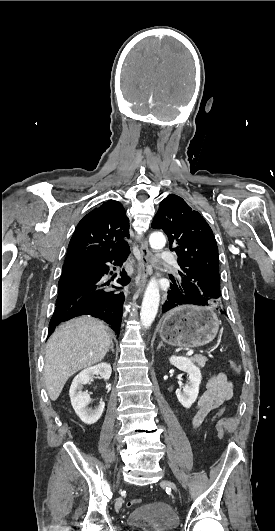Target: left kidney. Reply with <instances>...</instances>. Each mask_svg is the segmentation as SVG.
<instances>
[{
    "label": "left kidney",
    "mask_w": 275,
    "mask_h": 531,
    "mask_svg": "<svg viewBox=\"0 0 275 531\" xmlns=\"http://www.w3.org/2000/svg\"><path fill=\"white\" fill-rule=\"evenodd\" d=\"M169 361L179 371H184V373H188L189 375L185 387H182V391L181 389H177L176 397L183 407L190 409L198 397L199 387L202 381L201 371L199 367H195L191 359H186V357H170Z\"/></svg>",
    "instance_id": "obj_1"
}]
</instances>
